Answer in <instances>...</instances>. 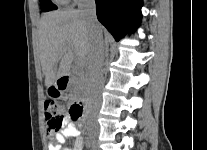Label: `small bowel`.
<instances>
[{"instance_id": "small-bowel-1", "label": "small bowel", "mask_w": 207, "mask_h": 150, "mask_svg": "<svg viewBox=\"0 0 207 150\" xmlns=\"http://www.w3.org/2000/svg\"><path fill=\"white\" fill-rule=\"evenodd\" d=\"M75 138V143L72 148L65 147L64 144L67 138ZM83 136L79 125L74 121H64L61 130L51 135V142L49 150H82L83 149Z\"/></svg>"}]
</instances>
